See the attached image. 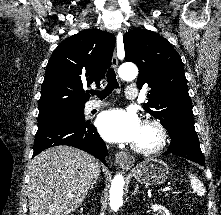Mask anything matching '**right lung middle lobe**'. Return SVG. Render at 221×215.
Returning a JSON list of instances; mask_svg holds the SVG:
<instances>
[{
	"mask_svg": "<svg viewBox=\"0 0 221 215\" xmlns=\"http://www.w3.org/2000/svg\"><path fill=\"white\" fill-rule=\"evenodd\" d=\"M84 107L73 110L70 112H65L61 114L48 115V116H40L38 117V126L61 122V121H80L84 120Z\"/></svg>",
	"mask_w": 221,
	"mask_h": 215,
	"instance_id": "right-lung-middle-lobe-1",
	"label": "right lung middle lobe"
}]
</instances>
